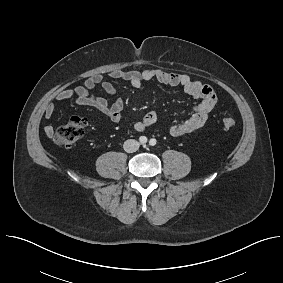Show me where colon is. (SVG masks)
Listing matches in <instances>:
<instances>
[{
    "label": "colon",
    "instance_id": "5ec220e1",
    "mask_svg": "<svg viewBox=\"0 0 283 283\" xmlns=\"http://www.w3.org/2000/svg\"><path fill=\"white\" fill-rule=\"evenodd\" d=\"M222 124L225 128H232L236 121L234 118L225 116L222 118ZM85 122L81 118H73L72 120L62 124L53 132L54 141L65 148H72L83 135Z\"/></svg>",
    "mask_w": 283,
    "mask_h": 283
}]
</instances>
